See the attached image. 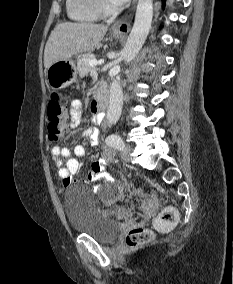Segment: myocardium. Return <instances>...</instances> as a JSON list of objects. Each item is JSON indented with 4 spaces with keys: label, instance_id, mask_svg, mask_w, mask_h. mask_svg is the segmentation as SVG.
Here are the masks:
<instances>
[{
    "label": "myocardium",
    "instance_id": "f54148a6",
    "mask_svg": "<svg viewBox=\"0 0 233 284\" xmlns=\"http://www.w3.org/2000/svg\"><path fill=\"white\" fill-rule=\"evenodd\" d=\"M94 4L99 15L103 17L114 16L119 11L118 7L110 6L106 0H94Z\"/></svg>",
    "mask_w": 233,
    "mask_h": 284
}]
</instances>
